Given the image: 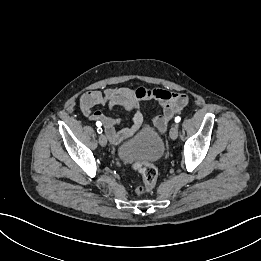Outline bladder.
Returning <instances> with one entry per match:
<instances>
[{"label":"bladder","instance_id":"31cf9c89","mask_svg":"<svg viewBox=\"0 0 261 261\" xmlns=\"http://www.w3.org/2000/svg\"><path fill=\"white\" fill-rule=\"evenodd\" d=\"M165 149L162 137L150 128H143L135 137L119 145L117 157L126 164L155 162Z\"/></svg>","mask_w":261,"mask_h":261}]
</instances>
